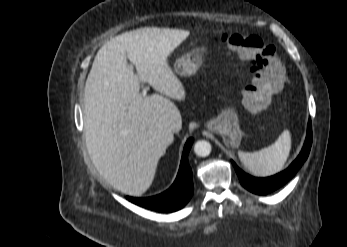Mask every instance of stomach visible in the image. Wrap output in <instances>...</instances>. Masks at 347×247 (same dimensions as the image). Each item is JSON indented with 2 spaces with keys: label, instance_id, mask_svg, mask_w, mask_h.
<instances>
[{
  "label": "stomach",
  "instance_id": "stomach-1",
  "mask_svg": "<svg viewBox=\"0 0 347 247\" xmlns=\"http://www.w3.org/2000/svg\"><path fill=\"white\" fill-rule=\"evenodd\" d=\"M208 51L206 46L193 48L176 60L175 73L182 77L194 75L202 65ZM206 128L221 135L226 144L233 147L240 145L243 133L239 127V117L234 107L226 106L223 108L215 118L207 122Z\"/></svg>",
  "mask_w": 347,
  "mask_h": 247
}]
</instances>
